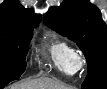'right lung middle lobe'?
Masks as SVG:
<instances>
[{"instance_id":"obj_1","label":"right lung middle lobe","mask_w":107,"mask_h":89,"mask_svg":"<svg viewBox=\"0 0 107 89\" xmlns=\"http://www.w3.org/2000/svg\"><path fill=\"white\" fill-rule=\"evenodd\" d=\"M33 27L0 24V88L18 79L26 67L25 57Z\"/></svg>"}]
</instances>
